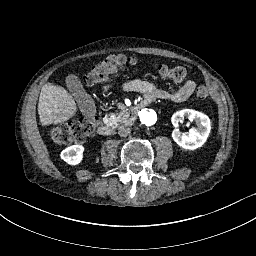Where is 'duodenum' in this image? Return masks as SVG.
Returning a JSON list of instances; mask_svg holds the SVG:
<instances>
[{
  "label": "duodenum",
  "mask_w": 256,
  "mask_h": 256,
  "mask_svg": "<svg viewBox=\"0 0 256 256\" xmlns=\"http://www.w3.org/2000/svg\"><path fill=\"white\" fill-rule=\"evenodd\" d=\"M147 105V100L146 99H141L138 102V106H134L133 107V112H132V116H134L135 113H139L140 112V108H145ZM113 129L110 125L108 124H102L99 126L98 128V134L102 137H108L112 134Z\"/></svg>",
  "instance_id": "1"
}]
</instances>
